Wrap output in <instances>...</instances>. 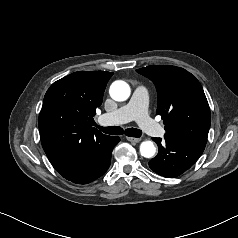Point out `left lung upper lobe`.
I'll use <instances>...</instances> for the list:
<instances>
[{
    "label": "left lung upper lobe",
    "instance_id": "left-lung-upper-lobe-1",
    "mask_svg": "<svg viewBox=\"0 0 238 238\" xmlns=\"http://www.w3.org/2000/svg\"><path fill=\"white\" fill-rule=\"evenodd\" d=\"M156 86L158 109L165 136L205 148L210 128V108L194 75L176 66L151 65L136 70Z\"/></svg>",
    "mask_w": 238,
    "mask_h": 238
}]
</instances>
